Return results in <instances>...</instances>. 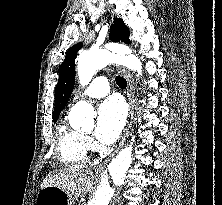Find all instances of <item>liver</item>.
Here are the masks:
<instances>
[{
	"instance_id": "1",
	"label": "liver",
	"mask_w": 222,
	"mask_h": 205,
	"mask_svg": "<svg viewBox=\"0 0 222 205\" xmlns=\"http://www.w3.org/2000/svg\"><path fill=\"white\" fill-rule=\"evenodd\" d=\"M45 186H56L67 192L71 198L80 197L93 186V174L91 171L69 166L50 172L41 185L42 188Z\"/></svg>"
}]
</instances>
